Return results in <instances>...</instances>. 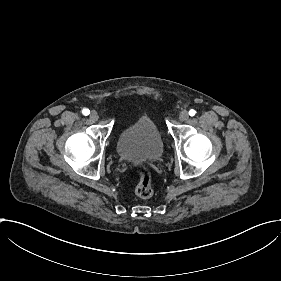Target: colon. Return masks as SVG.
Instances as JSON below:
<instances>
[{
  "instance_id": "1",
  "label": "colon",
  "mask_w": 281,
  "mask_h": 281,
  "mask_svg": "<svg viewBox=\"0 0 281 281\" xmlns=\"http://www.w3.org/2000/svg\"><path fill=\"white\" fill-rule=\"evenodd\" d=\"M132 176L136 179L133 193L138 198H146L153 194L154 180L150 169L144 165L134 166L131 170Z\"/></svg>"
}]
</instances>
